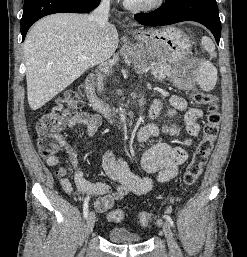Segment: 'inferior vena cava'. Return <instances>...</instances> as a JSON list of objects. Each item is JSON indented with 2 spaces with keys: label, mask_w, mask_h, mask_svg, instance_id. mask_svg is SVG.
Segmentation results:
<instances>
[{
  "label": "inferior vena cava",
  "mask_w": 247,
  "mask_h": 257,
  "mask_svg": "<svg viewBox=\"0 0 247 257\" xmlns=\"http://www.w3.org/2000/svg\"><path fill=\"white\" fill-rule=\"evenodd\" d=\"M110 0H101L99 6L90 14L89 19L96 22L100 28L108 23ZM103 90V77H98V91Z\"/></svg>",
  "instance_id": "602c4592"
}]
</instances>
